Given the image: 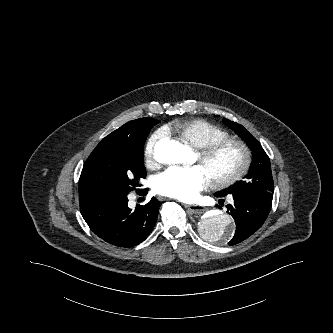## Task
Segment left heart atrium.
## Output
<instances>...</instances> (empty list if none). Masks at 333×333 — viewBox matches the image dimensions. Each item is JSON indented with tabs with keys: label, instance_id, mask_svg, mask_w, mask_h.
<instances>
[{
	"label": "left heart atrium",
	"instance_id": "obj_1",
	"mask_svg": "<svg viewBox=\"0 0 333 333\" xmlns=\"http://www.w3.org/2000/svg\"><path fill=\"white\" fill-rule=\"evenodd\" d=\"M210 183V176L200 165L191 167H170L157 176V193L181 201H191Z\"/></svg>",
	"mask_w": 333,
	"mask_h": 333
}]
</instances>
